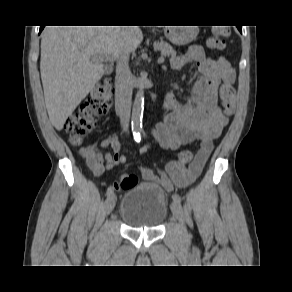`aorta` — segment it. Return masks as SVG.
Masks as SVG:
<instances>
[{"instance_id":"1","label":"aorta","mask_w":292,"mask_h":292,"mask_svg":"<svg viewBox=\"0 0 292 292\" xmlns=\"http://www.w3.org/2000/svg\"><path fill=\"white\" fill-rule=\"evenodd\" d=\"M143 110H144V84L143 79H140L138 90L134 99L131 117L132 127L135 132H138L142 125Z\"/></svg>"}]
</instances>
